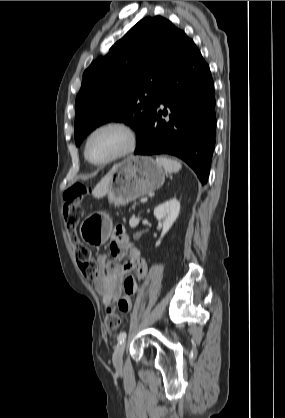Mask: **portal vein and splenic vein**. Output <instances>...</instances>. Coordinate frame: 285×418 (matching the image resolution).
<instances>
[{
	"label": "portal vein and splenic vein",
	"mask_w": 285,
	"mask_h": 418,
	"mask_svg": "<svg viewBox=\"0 0 285 418\" xmlns=\"http://www.w3.org/2000/svg\"><path fill=\"white\" fill-rule=\"evenodd\" d=\"M147 200H148V198H142L140 201H141V203H145V202H147Z\"/></svg>",
	"instance_id": "1"
}]
</instances>
